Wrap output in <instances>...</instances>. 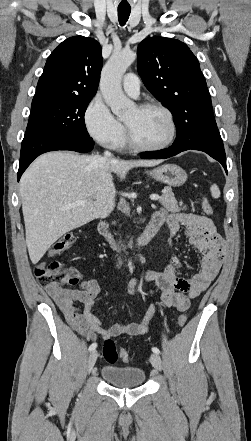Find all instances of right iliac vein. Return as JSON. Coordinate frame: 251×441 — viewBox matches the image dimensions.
Masks as SVG:
<instances>
[{
    "instance_id": "1",
    "label": "right iliac vein",
    "mask_w": 251,
    "mask_h": 441,
    "mask_svg": "<svg viewBox=\"0 0 251 441\" xmlns=\"http://www.w3.org/2000/svg\"><path fill=\"white\" fill-rule=\"evenodd\" d=\"M97 357H98V353L95 350L92 351V353L89 355L88 362H87V371H88V373H90L92 371V369H93V367H94V365L96 363Z\"/></svg>"
}]
</instances>
